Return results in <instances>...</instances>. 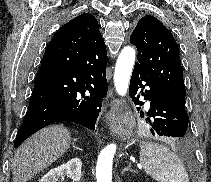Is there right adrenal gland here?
<instances>
[{"instance_id":"2a0ac1e0","label":"right adrenal gland","mask_w":211,"mask_h":182,"mask_svg":"<svg viewBox=\"0 0 211 182\" xmlns=\"http://www.w3.org/2000/svg\"><path fill=\"white\" fill-rule=\"evenodd\" d=\"M76 141H77V139H75L74 142L72 143V144H73V147H75V142H76Z\"/></svg>"}]
</instances>
